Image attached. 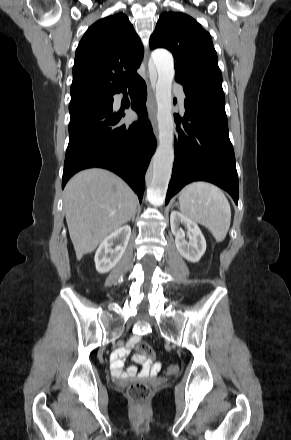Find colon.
Instances as JSON below:
<instances>
[{"instance_id":"obj_1","label":"colon","mask_w":291,"mask_h":440,"mask_svg":"<svg viewBox=\"0 0 291 440\" xmlns=\"http://www.w3.org/2000/svg\"><path fill=\"white\" fill-rule=\"evenodd\" d=\"M155 352L150 348L146 341H139L136 344V358L154 357ZM151 390L143 382H134L127 389V397L136 408L145 406L150 398Z\"/></svg>"}]
</instances>
